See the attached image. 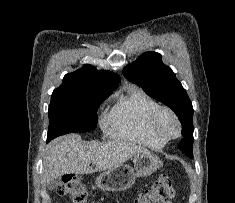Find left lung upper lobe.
<instances>
[{"label": "left lung upper lobe", "instance_id": "5c2ea615", "mask_svg": "<svg viewBox=\"0 0 235 203\" xmlns=\"http://www.w3.org/2000/svg\"><path fill=\"white\" fill-rule=\"evenodd\" d=\"M123 75L176 113L182 132L189 135L181 140L179 148L193 158V106L172 69L163 64L161 55L156 52L142 54L123 69Z\"/></svg>", "mask_w": 235, "mask_h": 203}]
</instances>
